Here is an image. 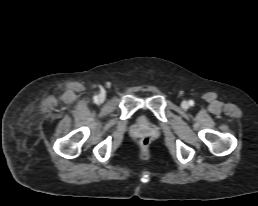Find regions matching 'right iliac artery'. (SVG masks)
<instances>
[{"instance_id": "obj_1", "label": "right iliac artery", "mask_w": 258, "mask_h": 206, "mask_svg": "<svg viewBox=\"0 0 258 206\" xmlns=\"http://www.w3.org/2000/svg\"><path fill=\"white\" fill-rule=\"evenodd\" d=\"M98 97L97 96H94V100L97 101Z\"/></svg>"}]
</instances>
